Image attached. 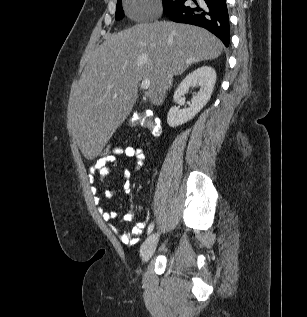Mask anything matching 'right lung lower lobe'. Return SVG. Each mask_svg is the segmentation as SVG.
<instances>
[{"mask_svg":"<svg viewBox=\"0 0 307 317\" xmlns=\"http://www.w3.org/2000/svg\"><path fill=\"white\" fill-rule=\"evenodd\" d=\"M186 0H174L164 10L172 21L203 27L216 35L226 47L230 43L229 18L226 0H193V7H185Z\"/></svg>","mask_w":307,"mask_h":317,"instance_id":"1","label":"right lung lower lobe"}]
</instances>
